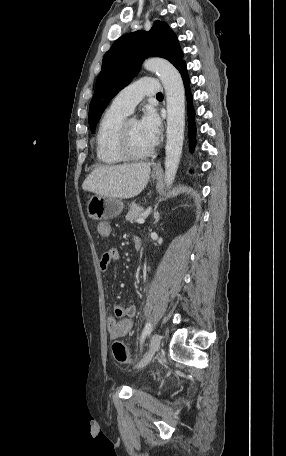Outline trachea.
<instances>
[{"instance_id":"1","label":"trachea","mask_w":286,"mask_h":456,"mask_svg":"<svg viewBox=\"0 0 286 456\" xmlns=\"http://www.w3.org/2000/svg\"><path fill=\"white\" fill-rule=\"evenodd\" d=\"M156 97H163V94H162V93H158V94L156 95Z\"/></svg>"}]
</instances>
